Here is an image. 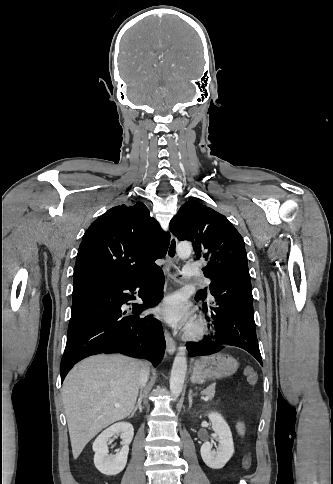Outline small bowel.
I'll return each mask as SVG.
<instances>
[{"instance_id": "1", "label": "small bowel", "mask_w": 333, "mask_h": 484, "mask_svg": "<svg viewBox=\"0 0 333 484\" xmlns=\"http://www.w3.org/2000/svg\"><path fill=\"white\" fill-rule=\"evenodd\" d=\"M236 430H237L238 434L240 436H242L244 434V431H245L244 424L242 422H237L236 423Z\"/></svg>"}]
</instances>
